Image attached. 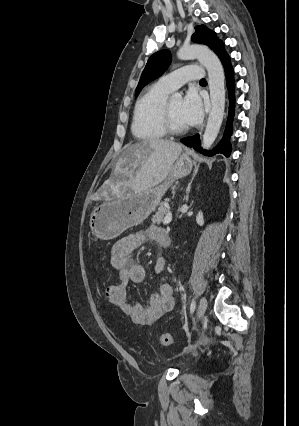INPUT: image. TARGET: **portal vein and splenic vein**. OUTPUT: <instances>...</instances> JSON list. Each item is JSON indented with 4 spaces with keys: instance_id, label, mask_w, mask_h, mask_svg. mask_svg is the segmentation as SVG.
I'll return each instance as SVG.
<instances>
[{
    "instance_id": "obj_1",
    "label": "portal vein and splenic vein",
    "mask_w": 299,
    "mask_h": 426,
    "mask_svg": "<svg viewBox=\"0 0 299 426\" xmlns=\"http://www.w3.org/2000/svg\"><path fill=\"white\" fill-rule=\"evenodd\" d=\"M172 220V214L170 212H168V214L166 215V217L164 218V224H168L170 223Z\"/></svg>"
}]
</instances>
